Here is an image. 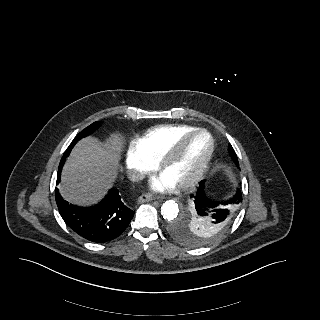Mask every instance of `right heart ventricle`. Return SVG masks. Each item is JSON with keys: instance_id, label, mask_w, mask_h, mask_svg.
Wrapping results in <instances>:
<instances>
[{"instance_id": "1", "label": "right heart ventricle", "mask_w": 320, "mask_h": 320, "mask_svg": "<svg viewBox=\"0 0 320 320\" xmlns=\"http://www.w3.org/2000/svg\"><path fill=\"white\" fill-rule=\"evenodd\" d=\"M192 129L194 127L186 124L156 126L136 139L135 145L146 157L157 162L178 137Z\"/></svg>"}]
</instances>
